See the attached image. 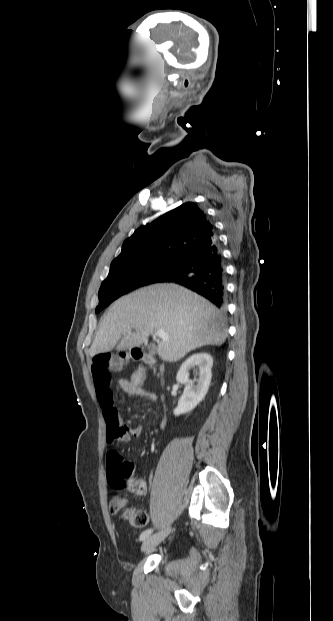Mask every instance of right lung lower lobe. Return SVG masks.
<instances>
[{"label": "right lung lower lobe", "instance_id": "98d812e1", "mask_svg": "<svg viewBox=\"0 0 333 621\" xmlns=\"http://www.w3.org/2000/svg\"><path fill=\"white\" fill-rule=\"evenodd\" d=\"M183 264L161 282L185 286L204 296L218 308L226 302L224 260L217 239L199 251L185 256Z\"/></svg>", "mask_w": 333, "mask_h": 621}]
</instances>
